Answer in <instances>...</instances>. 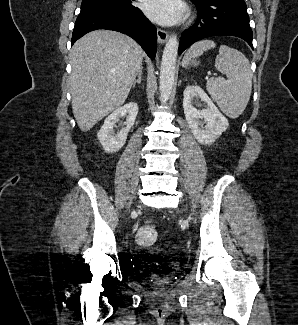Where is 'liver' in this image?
<instances>
[{
    "label": "liver",
    "instance_id": "1",
    "mask_svg": "<svg viewBox=\"0 0 298 325\" xmlns=\"http://www.w3.org/2000/svg\"><path fill=\"white\" fill-rule=\"evenodd\" d=\"M72 110L83 132L124 104L142 68L143 48L115 30H93L70 50Z\"/></svg>",
    "mask_w": 298,
    "mask_h": 325
}]
</instances>
